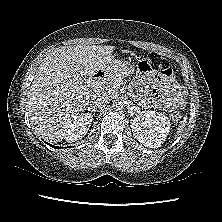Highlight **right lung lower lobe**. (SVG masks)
Returning <instances> with one entry per match:
<instances>
[{"instance_id":"right-lung-lower-lobe-1","label":"right lung lower lobe","mask_w":222,"mask_h":222,"mask_svg":"<svg viewBox=\"0 0 222 222\" xmlns=\"http://www.w3.org/2000/svg\"><path fill=\"white\" fill-rule=\"evenodd\" d=\"M50 146H52L53 148H59L58 146H53V145H51V144H49Z\"/></svg>"}]
</instances>
